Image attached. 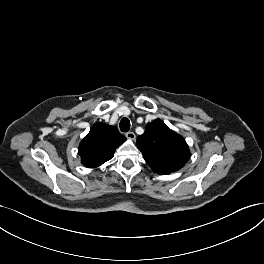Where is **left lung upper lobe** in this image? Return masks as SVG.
Returning a JSON list of instances; mask_svg holds the SVG:
<instances>
[{
  "label": "left lung upper lobe",
  "instance_id": "left-lung-upper-lobe-1",
  "mask_svg": "<svg viewBox=\"0 0 264 264\" xmlns=\"http://www.w3.org/2000/svg\"><path fill=\"white\" fill-rule=\"evenodd\" d=\"M137 146L149 166L159 174L181 169L190 158L184 138L160 119L147 124L144 134L137 137Z\"/></svg>",
  "mask_w": 264,
  "mask_h": 264
}]
</instances>
